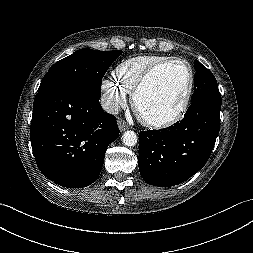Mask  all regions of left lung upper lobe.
Wrapping results in <instances>:
<instances>
[{
    "instance_id": "5c2ea615",
    "label": "left lung upper lobe",
    "mask_w": 253,
    "mask_h": 253,
    "mask_svg": "<svg viewBox=\"0 0 253 253\" xmlns=\"http://www.w3.org/2000/svg\"><path fill=\"white\" fill-rule=\"evenodd\" d=\"M195 70V91L191 102L194 103L203 98L221 99L214 75L198 60H195Z\"/></svg>"
}]
</instances>
